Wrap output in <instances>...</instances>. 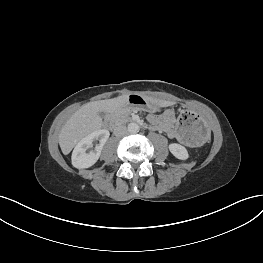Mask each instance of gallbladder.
Returning <instances> with one entry per match:
<instances>
[{"label":"gallbladder","mask_w":263,"mask_h":263,"mask_svg":"<svg viewBox=\"0 0 263 263\" xmlns=\"http://www.w3.org/2000/svg\"><path fill=\"white\" fill-rule=\"evenodd\" d=\"M99 115H100L102 118H104V117L106 116V113L100 112Z\"/></svg>","instance_id":"obj_1"}]
</instances>
